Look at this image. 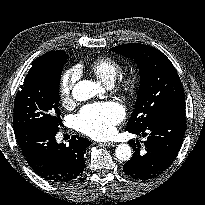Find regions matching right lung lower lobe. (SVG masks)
Here are the masks:
<instances>
[{
	"mask_svg": "<svg viewBox=\"0 0 205 205\" xmlns=\"http://www.w3.org/2000/svg\"><path fill=\"white\" fill-rule=\"evenodd\" d=\"M57 132L41 127L15 129L21 151L34 172L53 183H64L83 172V155L91 142L75 135L68 146L58 144Z\"/></svg>",
	"mask_w": 205,
	"mask_h": 205,
	"instance_id": "98d812e1",
	"label": "right lung lower lobe"
}]
</instances>
